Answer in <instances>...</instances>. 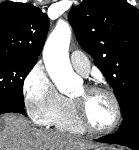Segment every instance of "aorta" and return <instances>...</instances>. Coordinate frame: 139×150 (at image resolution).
<instances>
[{"label":"aorta","mask_w":139,"mask_h":150,"mask_svg":"<svg viewBox=\"0 0 139 150\" xmlns=\"http://www.w3.org/2000/svg\"><path fill=\"white\" fill-rule=\"evenodd\" d=\"M71 29L64 21H59L48 37L43 51V59L50 78L63 94L71 93L78 77L70 64L68 50Z\"/></svg>","instance_id":"obj_1"}]
</instances>
